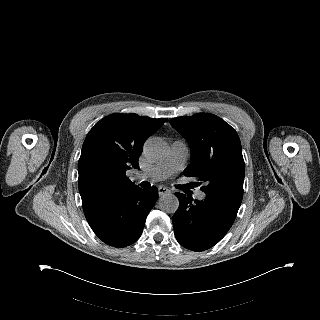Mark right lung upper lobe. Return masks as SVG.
Segmentation results:
<instances>
[{
  "label": "right lung upper lobe",
  "instance_id": "right-lung-upper-lobe-1",
  "mask_svg": "<svg viewBox=\"0 0 320 320\" xmlns=\"http://www.w3.org/2000/svg\"><path fill=\"white\" fill-rule=\"evenodd\" d=\"M165 121L118 113L103 118L90 130L78 162L83 207L136 186L126 176V170L139 168L145 140Z\"/></svg>",
  "mask_w": 320,
  "mask_h": 320
}]
</instances>
